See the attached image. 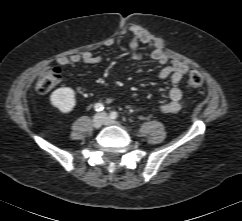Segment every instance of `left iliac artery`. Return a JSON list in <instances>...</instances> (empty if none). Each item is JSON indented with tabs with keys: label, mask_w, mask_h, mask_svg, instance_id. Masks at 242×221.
Segmentation results:
<instances>
[{
	"label": "left iliac artery",
	"mask_w": 242,
	"mask_h": 221,
	"mask_svg": "<svg viewBox=\"0 0 242 221\" xmlns=\"http://www.w3.org/2000/svg\"><path fill=\"white\" fill-rule=\"evenodd\" d=\"M110 117L112 119H116V118H118V113L116 111H113V112L110 113Z\"/></svg>",
	"instance_id": "1"
}]
</instances>
